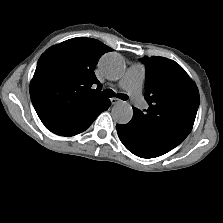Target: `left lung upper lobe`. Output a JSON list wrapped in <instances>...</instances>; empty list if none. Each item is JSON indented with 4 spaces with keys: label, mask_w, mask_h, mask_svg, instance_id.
Instances as JSON below:
<instances>
[{
    "label": "left lung upper lobe",
    "mask_w": 223,
    "mask_h": 223,
    "mask_svg": "<svg viewBox=\"0 0 223 223\" xmlns=\"http://www.w3.org/2000/svg\"><path fill=\"white\" fill-rule=\"evenodd\" d=\"M145 99L148 110L133 108L132 121L147 136L173 147L191 132L199 107L196 85L175 61L164 57H144Z\"/></svg>",
    "instance_id": "5c2ea615"
}]
</instances>
